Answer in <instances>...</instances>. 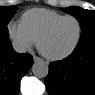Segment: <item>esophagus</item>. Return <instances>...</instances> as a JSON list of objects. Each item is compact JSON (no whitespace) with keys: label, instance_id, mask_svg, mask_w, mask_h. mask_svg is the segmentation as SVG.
<instances>
[{"label":"esophagus","instance_id":"esophagus-1","mask_svg":"<svg viewBox=\"0 0 95 95\" xmlns=\"http://www.w3.org/2000/svg\"><path fill=\"white\" fill-rule=\"evenodd\" d=\"M33 60H34V62H39V61H42V59L41 58H39L38 56H33Z\"/></svg>","mask_w":95,"mask_h":95}]
</instances>
